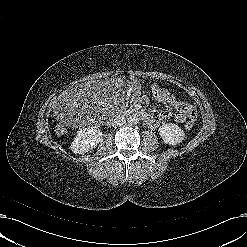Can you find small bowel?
Segmentation results:
<instances>
[{"label": "small bowel", "mask_w": 247, "mask_h": 247, "mask_svg": "<svg viewBox=\"0 0 247 247\" xmlns=\"http://www.w3.org/2000/svg\"><path fill=\"white\" fill-rule=\"evenodd\" d=\"M156 86L159 85L152 84L151 89H153ZM165 91L168 90L165 89ZM144 102H147V99H144ZM158 103L164 106H170L176 111L174 118L177 123H184L186 119H190V118L196 119L197 116L196 109L189 103L177 100L173 95L170 100H162ZM171 116L172 115L169 111L164 110L159 113V120L164 121L169 119ZM151 119L152 121L148 123V126L150 128H156L159 124V121L153 117H151Z\"/></svg>", "instance_id": "small-bowel-1"}]
</instances>
